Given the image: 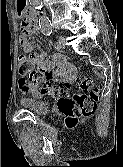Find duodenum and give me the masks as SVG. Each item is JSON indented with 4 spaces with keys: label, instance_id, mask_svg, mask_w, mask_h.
Instances as JSON below:
<instances>
[{
    "label": "duodenum",
    "instance_id": "obj_1",
    "mask_svg": "<svg viewBox=\"0 0 123 167\" xmlns=\"http://www.w3.org/2000/svg\"><path fill=\"white\" fill-rule=\"evenodd\" d=\"M30 15H31V17H32L33 19L36 20V15H35V13H34L33 11L30 12Z\"/></svg>",
    "mask_w": 123,
    "mask_h": 167
}]
</instances>
